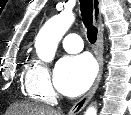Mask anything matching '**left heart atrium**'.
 Instances as JSON below:
<instances>
[{
	"instance_id": "1",
	"label": "left heart atrium",
	"mask_w": 131,
	"mask_h": 115,
	"mask_svg": "<svg viewBox=\"0 0 131 115\" xmlns=\"http://www.w3.org/2000/svg\"><path fill=\"white\" fill-rule=\"evenodd\" d=\"M95 74L96 66L89 56H65L57 63L54 81L62 94L75 97L88 89Z\"/></svg>"
}]
</instances>
